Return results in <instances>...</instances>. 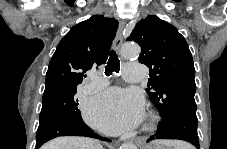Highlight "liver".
<instances>
[{
    "mask_svg": "<svg viewBox=\"0 0 227 149\" xmlns=\"http://www.w3.org/2000/svg\"><path fill=\"white\" fill-rule=\"evenodd\" d=\"M41 149H103L102 146L85 137H58L45 145Z\"/></svg>",
    "mask_w": 227,
    "mask_h": 149,
    "instance_id": "obj_1",
    "label": "liver"
}]
</instances>
